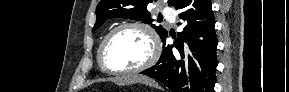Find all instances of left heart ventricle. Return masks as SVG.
<instances>
[{
  "label": "left heart ventricle",
  "mask_w": 289,
  "mask_h": 92,
  "mask_svg": "<svg viewBox=\"0 0 289 92\" xmlns=\"http://www.w3.org/2000/svg\"><path fill=\"white\" fill-rule=\"evenodd\" d=\"M150 53L151 43L146 33L138 28H126L109 42L105 62L111 69H130L144 63Z\"/></svg>",
  "instance_id": "obj_1"
}]
</instances>
